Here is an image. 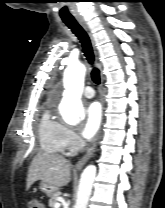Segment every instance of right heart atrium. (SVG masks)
<instances>
[{
    "label": "right heart atrium",
    "mask_w": 165,
    "mask_h": 208,
    "mask_svg": "<svg viewBox=\"0 0 165 208\" xmlns=\"http://www.w3.org/2000/svg\"><path fill=\"white\" fill-rule=\"evenodd\" d=\"M65 147L67 153H73L80 145V140L76 132L70 128L65 127Z\"/></svg>",
    "instance_id": "obj_1"
}]
</instances>
